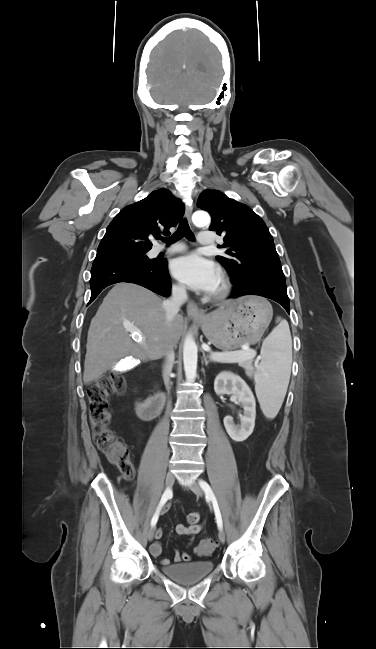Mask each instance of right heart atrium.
<instances>
[{"instance_id": "1", "label": "right heart atrium", "mask_w": 376, "mask_h": 649, "mask_svg": "<svg viewBox=\"0 0 376 649\" xmlns=\"http://www.w3.org/2000/svg\"><path fill=\"white\" fill-rule=\"evenodd\" d=\"M173 292H174L175 295L180 296V297L184 295V289L179 285H174L173 286Z\"/></svg>"}]
</instances>
